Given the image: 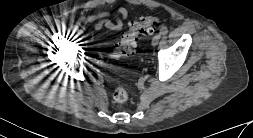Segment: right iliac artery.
<instances>
[{
	"label": "right iliac artery",
	"instance_id": "obj_1",
	"mask_svg": "<svg viewBox=\"0 0 253 138\" xmlns=\"http://www.w3.org/2000/svg\"><path fill=\"white\" fill-rule=\"evenodd\" d=\"M79 29V26L77 25V24H74L73 26H72V28H71V31L73 32V33H76V31Z\"/></svg>",
	"mask_w": 253,
	"mask_h": 138
}]
</instances>
